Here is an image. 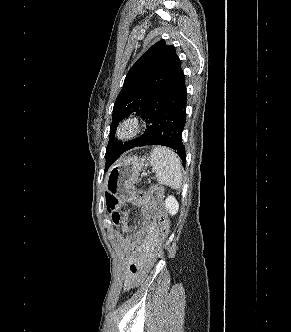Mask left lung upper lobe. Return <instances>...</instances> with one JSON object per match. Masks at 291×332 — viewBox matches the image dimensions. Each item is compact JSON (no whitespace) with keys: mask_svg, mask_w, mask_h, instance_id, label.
Returning a JSON list of instances; mask_svg holds the SVG:
<instances>
[{"mask_svg":"<svg viewBox=\"0 0 291 332\" xmlns=\"http://www.w3.org/2000/svg\"><path fill=\"white\" fill-rule=\"evenodd\" d=\"M180 64L176 50L161 40L151 46L130 68L113 107L106 163L125 144L115 138L119 122L130 114L144 116L152 100L167 85Z\"/></svg>","mask_w":291,"mask_h":332,"instance_id":"5c2ea615","label":"left lung upper lobe"}]
</instances>
